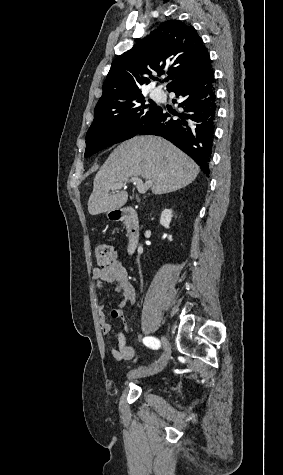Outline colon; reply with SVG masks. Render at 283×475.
I'll use <instances>...</instances> for the list:
<instances>
[{"label":"colon","mask_w":283,"mask_h":475,"mask_svg":"<svg viewBox=\"0 0 283 475\" xmlns=\"http://www.w3.org/2000/svg\"><path fill=\"white\" fill-rule=\"evenodd\" d=\"M94 254L100 267H109L116 262V252L110 245L98 244L95 246Z\"/></svg>","instance_id":"colon-1"}]
</instances>
